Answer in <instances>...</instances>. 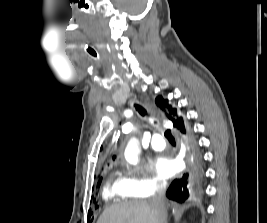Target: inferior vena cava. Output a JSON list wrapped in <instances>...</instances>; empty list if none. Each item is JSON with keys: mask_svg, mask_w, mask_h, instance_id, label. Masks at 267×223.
<instances>
[{"mask_svg": "<svg viewBox=\"0 0 267 223\" xmlns=\"http://www.w3.org/2000/svg\"><path fill=\"white\" fill-rule=\"evenodd\" d=\"M166 184L160 183L157 185L154 195L151 198V203L160 210V223H166V202H165Z\"/></svg>", "mask_w": 267, "mask_h": 223, "instance_id": "obj_1", "label": "inferior vena cava"}]
</instances>
